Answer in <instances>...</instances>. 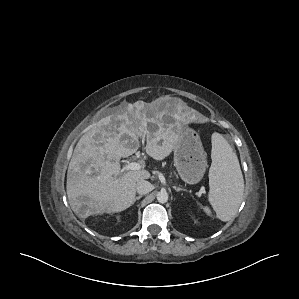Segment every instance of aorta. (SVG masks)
<instances>
[{
  "instance_id": "1",
  "label": "aorta",
  "mask_w": 299,
  "mask_h": 299,
  "mask_svg": "<svg viewBox=\"0 0 299 299\" xmlns=\"http://www.w3.org/2000/svg\"><path fill=\"white\" fill-rule=\"evenodd\" d=\"M157 200L159 203H166L168 201V194L166 191H160L157 193Z\"/></svg>"
}]
</instances>
